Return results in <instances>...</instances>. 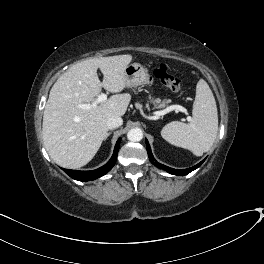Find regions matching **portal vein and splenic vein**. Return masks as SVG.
<instances>
[{"label": "portal vein and splenic vein", "mask_w": 264, "mask_h": 264, "mask_svg": "<svg viewBox=\"0 0 264 264\" xmlns=\"http://www.w3.org/2000/svg\"><path fill=\"white\" fill-rule=\"evenodd\" d=\"M106 100H107V95L104 94V93H102V94H100V95L98 96V98L95 100L94 103H92V104H80L79 107H80V108H83V109H91L92 107H95V106H97L99 103H102V102H104V101H106ZM173 110H175V112H179V111H180V112L187 113V110H186L184 107H182V106H180V105H172V106L167 107V108L164 109V110H161V111H157V112H155V114H156L157 116H162V115H165V114H167V113H169L170 111H173ZM187 120H188V121H191V117L188 116V117H187Z\"/></svg>", "instance_id": "1"}]
</instances>
